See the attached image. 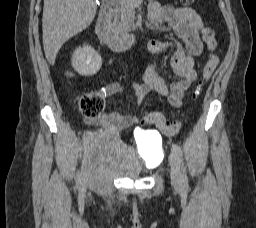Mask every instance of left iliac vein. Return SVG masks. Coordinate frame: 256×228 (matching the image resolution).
Segmentation results:
<instances>
[{"label":"left iliac vein","mask_w":256,"mask_h":228,"mask_svg":"<svg viewBox=\"0 0 256 228\" xmlns=\"http://www.w3.org/2000/svg\"><path fill=\"white\" fill-rule=\"evenodd\" d=\"M169 163L171 166L170 177L171 183L178 187L181 185V171H180V162L177 154L174 151H171L169 155Z\"/></svg>","instance_id":"1"}]
</instances>
